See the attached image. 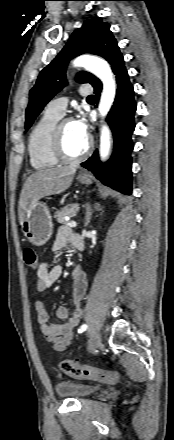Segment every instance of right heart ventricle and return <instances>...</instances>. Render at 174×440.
<instances>
[{
    "mask_svg": "<svg viewBox=\"0 0 174 440\" xmlns=\"http://www.w3.org/2000/svg\"><path fill=\"white\" fill-rule=\"evenodd\" d=\"M61 116L44 111L31 129L28 137V153L31 166L44 170L59 165L52 151V138L55 125Z\"/></svg>",
    "mask_w": 174,
    "mask_h": 440,
    "instance_id": "e07e8e85",
    "label": "right heart ventricle"
}]
</instances>
